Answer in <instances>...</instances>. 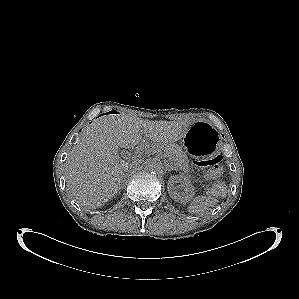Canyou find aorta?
<instances>
[{
    "label": "aorta",
    "instance_id": "762f6f07",
    "mask_svg": "<svg viewBox=\"0 0 299 299\" xmlns=\"http://www.w3.org/2000/svg\"><path fill=\"white\" fill-rule=\"evenodd\" d=\"M144 169L149 173H159L163 169L162 162L157 158L148 159L144 163Z\"/></svg>",
    "mask_w": 299,
    "mask_h": 299
}]
</instances>
